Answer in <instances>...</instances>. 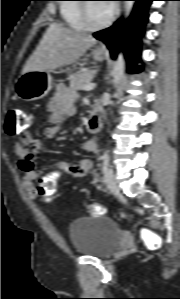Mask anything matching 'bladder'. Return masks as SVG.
<instances>
[{"label":"bladder","mask_w":180,"mask_h":299,"mask_svg":"<svg viewBox=\"0 0 180 299\" xmlns=\"http://www.w3.org/2000/svg\"><path fill=\"white\" fill-rule=\"evenodd\" d=\"M69 240L77 253L105 258L120 245V227L111 218L78 217L67 229Z\"/></svg>","instance_id":"31cf9c89"}]
</instances>
